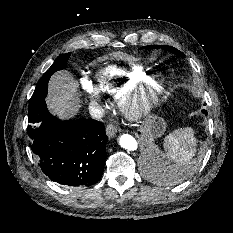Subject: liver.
Returning a JSON list of instances; mask_svg holds the SVG:
<instances>
[{
  "label": "liver",
  "instance_id": "1",
  "mask_svg": "<svg viewBox=\"0 0 233 233\" xmlns=\"http://www.w3.org/2000/svg\"><path fill=\"white\" fill-rule=\"evenodd\" d=\"M78 83L68 71L55 73L48 84L46 103L50 111L61 118L74 117L80 109Z\"/></svg>",
  "mask_w": 233,
  "mask_h": 233
}]
</instances>
